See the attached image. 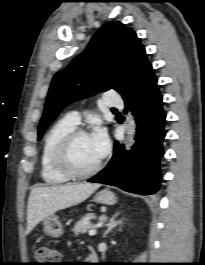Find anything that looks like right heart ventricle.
<instances>
[{
  "label": "right heart ventricle",
  "mask_w": 205,
  "mask_h": 265,
  "mask_svg": "<svg viewBox=\"0 0 205 265\" xmlns=\"http://www.w3.org/2000/svg\"><path fill=\"white\" fill-rule=\"evenodd\" d=\"M76 125L67 118L58 120L45 134L41 150V177L51 185L63 184L69 180L54 165V154L63 137L74 130Z\"/></svg>",
  "instance_id": "right-heart-ventricle-1"
}]
</instances>
